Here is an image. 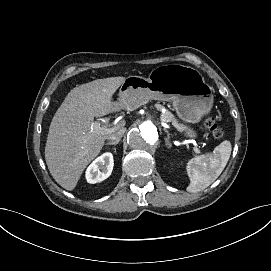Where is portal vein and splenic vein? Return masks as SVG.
Masks as SVG:
<instances>
[{
  "instance_id": "1",
  "label": "portal vein and splenic vein",
  "mask_w": 271,
  "mask_h": 271,
  "mask_svg": "<svg viewBox=\"0 0 271 271\" xmlns=\"http://www.w3.org/2000/svg\"><path fill=\"white\" fill-rule=\"evenodd\" d=\"M91 131H92L93 133L97 134V135H102V134H104V133L107 132V129H103V128H101L96 122H93V123H92V127H91ZM193 148L195 149L196 147L194 146ZM195 152H196L197 154H201V153L204 154V153H205L204 151L201 152L200 149H195Z\"/></svg>"
}]
</instances>
